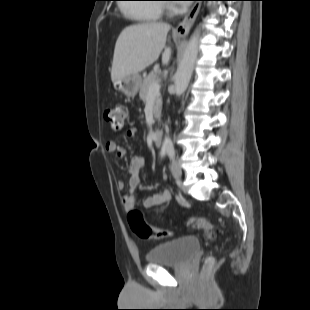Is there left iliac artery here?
<instances>
[{
  "mask_svg": "<svg viewBox=\"0 0 310 310\" xmlns=\"http://www.w3.org/2000/svg\"><path fill=\"white\" fill-rule=\"evenodd\" d=\"M167 153L169 155L170 158H173L175 156V150L174 148L171 146V147H168L167 148Z\"/></svg>",
  "mask_w": 310,
  "mask_h": 310,
  "instance_id": "left-iliac-artery-1",
  "label": "left iliac artery"
}]
</instances>
